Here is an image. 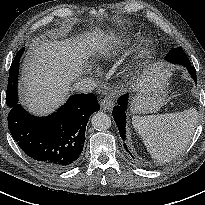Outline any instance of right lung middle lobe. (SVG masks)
Segmentation results:
<instances>
[{
	"instance_id": "1",
	"label": "right lung middle lobe",
	"mask_w": 205,
	"mask_h": 205,
	"mask_svg": "<svg viewBox=\"0 0 205 205\" xmlns=\"http://www.w3.org/2000/svg\"><path fill=\"white\" fill-rule=\"evenodd\" d=\"M23 50L24 48H22L17 52L9 71V80H8V86L6 92V103L9 108L13 107L18 102V96H17L18 71H19V62Z\"/></svg>"
}]
</instances>
